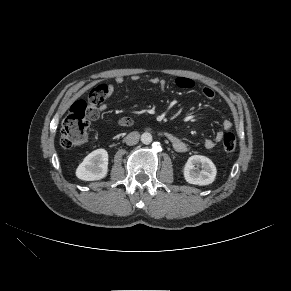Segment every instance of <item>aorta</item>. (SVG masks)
Segmentation results:
<instances>
[{
    "mask_svg": "<svg viewBox=\"0 0 291 291\" xmlns=\"http://www.w3.org/2000/svg\"><path fill=\"white\" fill-rule=\"evenodd\" d=\"M141 142L143 144H150L152 142V135L148 132H145L141 135Z\"/></svg>",
    "mask_w": 291,
    "mask_h": 291,
    "instance_id": "1",
    "label": "aorta"
}]
</instances>
